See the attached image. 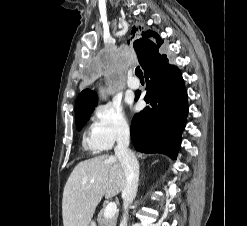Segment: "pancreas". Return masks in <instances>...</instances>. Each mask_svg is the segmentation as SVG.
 <instances>
[{
	"label": "pancreas",
	"instance_id": "1",
	"mask_svg": "<svg viewBox=\"0 0 247 226\" xmlns=\"http://www.w3.org/2000/svg\"><path fill=\"white\" fill-rule=\"evenodd\" d=\"M105 209H102L97 218L98 226H116L117 223V214L112 216L111 218H105L104 216Z\"/></svg>",
	"mask_w": 247,
	"mask_h": 226
}]
</instances>
